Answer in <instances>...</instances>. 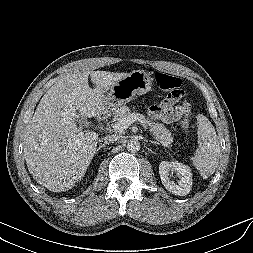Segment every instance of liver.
Here are the masks:
<instances>
[{"label": "liver", "instance_id": "obj_1", "mask_svg": "<svg viewBox=\"0 0 253 253\" xmlns=\"http://www.w3.org/2000/svg\"><path fill=\"white\" fill-rule=\"evenodd\" d=\"M128 74L77 71L62 76L48 89L24 133L26 164L39 184L63 192L84 176L95 155L98 134L80 131L76 120L80 115H101L105 111L104 93ZM89 75L95 89L89 87Z\"/></svg>", "mask_w": 253, "mask_h": 253}]
</instances>
